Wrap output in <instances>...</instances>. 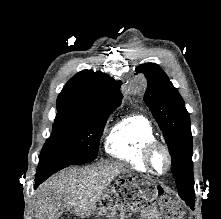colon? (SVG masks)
Returning a JSON list of instances; mask_svg holds the SVG:
<instances>
[{
	"instance_id": "colon-1",
	"label": "colon",
	"mask_w": 221,
	"mask_h": 219,
	"mask_svg": "<svg viewBox=\"0 0 221 219\" xmlns=\"http://www.w3.org/2000/svg\"><path fill=\"white\" fill-rule=\"evenodd\" d=\"M152 190L153 188L151 187L136 185L131 181L125 182L116 187V192L118 193L120 198H125L127 194H133L135 191L140 193L142 200L139 202L138 209L148 208L156 202V195H152ZM115 199V195L109 196L110 201H115ZM160 207L164 212L172 213V210L168 206H166V202L162 201Z\"/></svg>"
}]
</instances>
